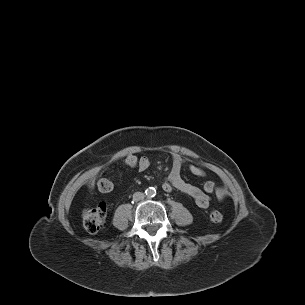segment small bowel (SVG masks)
Returning a JSON list of instances; mask_svg holds the SVG:
<instances>
[{
	"label": "small bowel",
	"mask_w": 305,
	"mask_h": 305,
	"mask_svg": "<svg viewBox=\"0 0 305 305\" xmlns=\"http://www.w3.org/2000/svg\"><path fill=\"white\" fill-rule=\"evenodd\" d=\"M172 167L169 175L163 181L162 187L165 191L170 192L177 189L190 197H192L200 208H207L210 204V194L215 192L218 199L222 200L226 196V191L215 185L213 181H207L203 188H199L182 178V168L185 160L176 150H171ZM150 166V160L147 157H141L138 165L140 171H145ZM189 169L196 176H204L206 174L205 167L199 164H190Z\"/></svg>",
	"instance_id": "obj_1"
}]
</instances>
